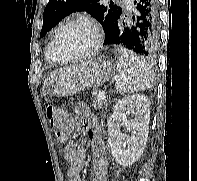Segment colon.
I'll return each mask as SVG.
<instances>
[{"label":"colon","mask_w":197,"mask_h":181,"mask_svg":"<svg viewBox=\"0 0 197 181\" xmlns=\"http://www.w3.org/2000/svg\"><path fill=\"white\" fill-rule=\"evenodd\" d=\"M46 115L56 136L65 137L71 123L70 116L51 105L46 108Z\"/></svg>","instance_id":"obj_1"}]
</instances>
